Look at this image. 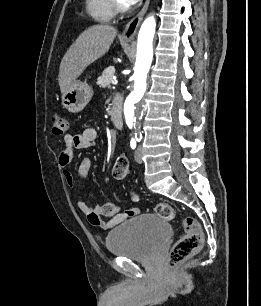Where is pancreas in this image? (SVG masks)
<instances>
[{"instance_id":"obj_1","label":"pancreas","mask_w":261,"mask_h":306,"mask_svg":"<svg viewBox=\"0 0 261 306\" xmlns=\"http://www.w3.org/2000/svg\"><path fill=\"white\" fill-rule=\"evenodd\" d=\"M114 74H115V68L113 66L108 67L103 71L102 75L98 78L97 85H99V87L102 88L109 87L110 83L112 82Z\"/></svg>"}]
</instances>
